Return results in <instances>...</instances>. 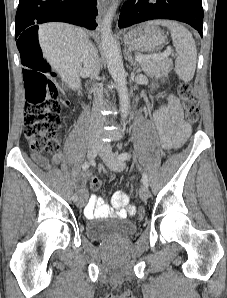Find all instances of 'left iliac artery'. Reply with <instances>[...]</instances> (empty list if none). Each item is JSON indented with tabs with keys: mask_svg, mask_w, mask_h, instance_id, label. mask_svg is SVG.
Here are the masks:
<instances>
[{
	"mask_svg": "<svg viewBox=\"0 0 227 298\" xmlns=\"http://www.w3.org/2000/svg\"><path fill=\"white\" fill-rule=\"evenodd\" d=\"M130 158H131V155L127 152H123L119 155V159L122 160V161L128 160ZM142 182H143V184L148 186V177H147V174L145 172H143V174H142Z\"/></svg>",
	"mask_w": 227,
	"mask_h": 298,
	"instance_id": "obj_1",
	"label": "left iliac artery"
}]
</instances>
